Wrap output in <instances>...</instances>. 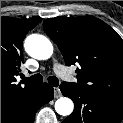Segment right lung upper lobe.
Returning a JSON list of instances; mask_svg holds the SVG:
<instances>
[{
  "label": "right lung upper lobe",
  "mask_w": 123,
  "mask_h": 123,
  "mask_svg": "<svg viewBox=\"0 0 123 123\" xmlns=\"http://www.w3.org/2000/svg\"><path fill=\"white\" fill-rule=\"evenodd\" d=\"M40 23L38 19L1 17V106L25 98L37 87L16 83L24 62L22 44L25 35Z\"/></svg>",
  "instance_id": "obj_1"
}]
</instances>
